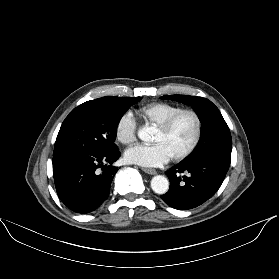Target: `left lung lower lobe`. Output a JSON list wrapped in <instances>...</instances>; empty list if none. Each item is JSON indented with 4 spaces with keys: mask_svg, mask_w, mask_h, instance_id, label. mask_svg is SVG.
<instances>
[{
    "mask_svg": "<svg viewBox=\"0 0 279 279\" xmlns=\"http://www.w3.org/2000/svg\"><path fill=\"white\" fill-rule=\"evenodd\" d=\"M229 165L212 156L184 160L167 171L170 188L161 198L175 209L195 208L217 192Z\"/></svg>",
    "mask_w": 279,
    "mask_h": 279,
    "instance_id": "1",
    "label": "left lung lower lobe"
}]
</instances>
